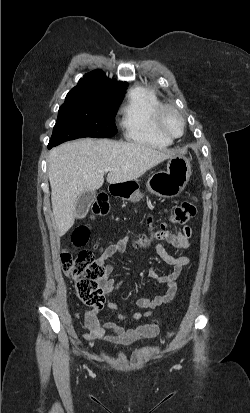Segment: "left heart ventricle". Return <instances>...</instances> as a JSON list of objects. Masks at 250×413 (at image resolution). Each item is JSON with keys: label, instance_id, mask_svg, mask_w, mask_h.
<instances>
[{"label": "left heart ventricle", "instance_id": "left-heart-ventricle-1", "mask_svg": "<svg viewBox=\"0 0 250 413\" xmlns=\"http://www.w3.org/2000/svg\"><path fill=\"white\" fill-rule=\"evenodd\" d=\"M164 126L168 132L174 135H178L181 132V122L180 120L172 113H166L164 116Z\"/></svg>", "mask_w": 250, "mask_h": 413}]
</instances>
